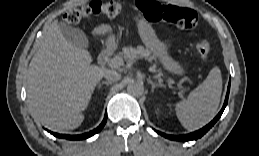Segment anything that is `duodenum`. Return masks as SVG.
<instances>
[{
	"label": "duodenum",
	"mask_w": 259,
	"mask_h": 156,
	"mask_svg": "<svg viewBox=\"0 0 259 156\" xmlns=\"http://www.w3.org/2000/svg\"><path fill=\"white\" fill-rule=\"evenodd\" d=\"M114 51L113 45H107L99 54L98 56V63L103 66L106 64L110 56Z\"/></svg>",
	"instance_id": "410a0bca"
}]
</instances>
